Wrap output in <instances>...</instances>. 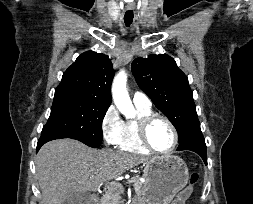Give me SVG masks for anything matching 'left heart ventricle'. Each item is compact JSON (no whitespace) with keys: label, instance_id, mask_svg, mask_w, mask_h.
I'll return each instance as SVG.
<instances>
[{"label":"left heart ventricle","instance_id":"obj_1","mask_svg":"<svg viewBox=\"0 0 253 204\" xmlns=\"http://www.w3.org/2000/svg\"><path fill=\"white\" fill-rule=\"evenodd\" d=\"M148 137L154 148L160 151L168 150L173 144V134L163 120H155L148 129Z\"/></svg>","mask_w":253,"mask_h":204}]
</instances>
